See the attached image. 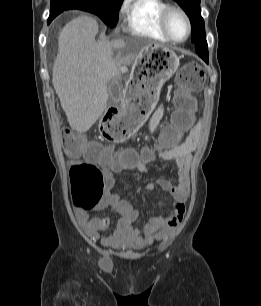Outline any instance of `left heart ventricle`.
Here are the masks:
<instances>
[{
	"label": "left heart ventricle",
	"instance_id": "b2bd125f",
	"mask_svg": "<svg viewBox=\"0 0 261 306\" xmlns=\"http://www.w3.org/2000/svg\"><path fill=\"white\" fill-rule=\"evenodd\" d=\"M168 27L171 35L181 40L186 36L187 29L183 18L178 13H172L168 18Z\"/></svg>",
	"mask_w": 261,
	"mask_h": 306
}]
</instances>
